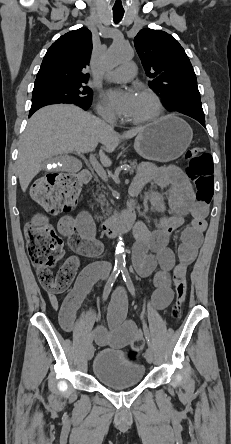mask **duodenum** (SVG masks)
<instances>
[{
    "label": "duodenum",
    "instance_id": "obj_1",
    "mask_svg": "<svg viewBox=\"0 0 231 444\" xmlns=\"http://www.w3.org/2000/svg\"><path fill=\"white\" fill-rule=\"evenodd\" d=\"M79 177L81 181L88 183L91 180L92 175L88 168H84L79 173ZM137 226L136 212L133 207H130L116 218L102 222L100 224V230L106 237L111 238L120 232L130 229L136 230Z\"/></svg>",
    "mask_w": 231,
    "mask_h": 444
}]
</instances>
